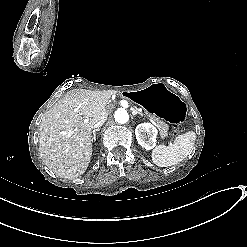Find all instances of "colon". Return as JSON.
Returning a JSON list of instances; mask_svg holds the SVG:
<instances>
[{
  "instance_id": "obj_1",
  "label": "colon",
  "mask_w": 247,
  "mask_h": 247,
  "mask_svg": "<svg viewBox=\"0 0 247 247\" xmlns=\"http://www.w3.org/2000/svg\"><path fill=\"white\" fill-rule=\"evenodd\" d=\"M179 133V128L177 126H175L171 132H170V135L171 136H176L177 134Z\"/></svg>"
}]
</instances>
